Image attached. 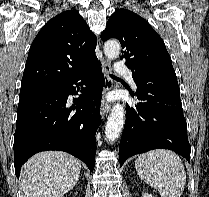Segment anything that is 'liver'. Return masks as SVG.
Wrapping results in <instances>:
<instances>
[{
	"label": "liver",
	"instance_id": "obj_1",
	"mask_svg": "<svg viewBox=\"0 0 209 197\" xmlns=\"http://www.w3.org/2000/svg\"><path fill=\"white\" fill-rule=\"evenodd\" d=\"M80 171V160L65 152L35 154L21 170L24 197H63L76 185Z\"/></svg>",
	"mask_w": 209,
	"mask_h": 197
}]
</instances>
